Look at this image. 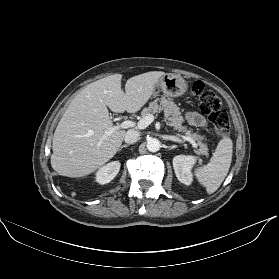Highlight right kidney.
I'll list each match as a JSON object with an SVG mask.
<instances>
[{
    "instance_id": "1",
    "label": "right kidney",
    "mask_w": 279,
    "mask_h": 279,
    "mask_svg": "<svg viewBox=\"0 0 279 279\" xmlns=\"http://www.w3.org/2000/svg\"><path fill=\"white\" fill-rule=\"evenodd\" d=\"M120 166L119 161H113L102 166L95 174V181L101 185L109 183L118 174Z\"/></svg>"
}]
</instances>
